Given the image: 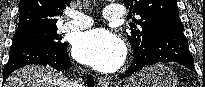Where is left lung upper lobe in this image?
I'll list each match as a JSON object with an SVG mask.
<instances>
[{
	"label": "left lung upper lobe",
	"instance_id": "obj_1",
	"mask_svg": "<svg viewBox=\"0 0 205 87\" xmlns=\"http://www.w3.org/2000/svg\"><path fill=\"white\" fill-rule=\"evenodd\" d=\"M130 11L140 15V19H133L141 28L136 29L132 24L128 35L133 50L145 47L148 39L161 25L170 21H180L176 0H123Z\"/></svg>",
	"mask_w": 205,
	"mask_h": 87
}]
</instances>
